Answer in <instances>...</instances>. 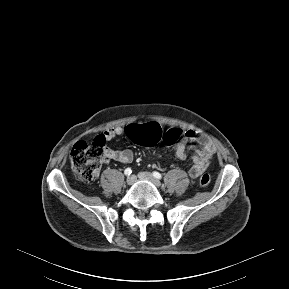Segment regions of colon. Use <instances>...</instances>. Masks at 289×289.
<instances>
[{
    "label": "colon",
    "instance_id": "5ec220e1",
    "mask_svg": "<svg viewBox=\"0 0 289 289\" xmlns=\"http://www.w3.org/2000/svg\"><path fill=\"white\" fill-rule=\"evenodd\" d=\"M127 134L137 144L143 146H153L160 142L172 144L179 142L184 137V132L180 129H168L164 131L157 123H149L145 126H128ZM104 139L98 136L91 144L85 141L77 142L70 154V162L76 176L82 182H91L98 174L101 160L104 157ZM210 175L205 173L200 176L201 186H208Z\"/></svg>",
    "mask_w": 289,
    "mask_h": 289
}]
</instances>
